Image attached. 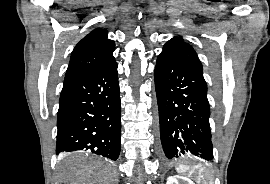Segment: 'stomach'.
<instances>
[{"instance_id":"0dacf381","label":"stomach","mask_w":270,"mask_h":184,"mask_svg":"<svg viewBox=\"0 0 270 184\" xmlns=\"http://www.w3.org/2000/svg\"><path fill=\"white\" fill-rule=\"evenodd\" d=\"M187 167L186 165H184V164H178L177 166H176V169H177V171H179L181 168H183V167Z\"/></svg>"}]
</instances>
